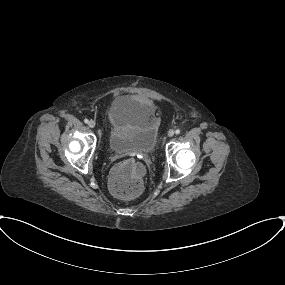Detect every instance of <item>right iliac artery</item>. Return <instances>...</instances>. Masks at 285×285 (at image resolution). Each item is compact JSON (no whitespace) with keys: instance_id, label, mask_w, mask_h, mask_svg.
<instances>
[{"instance_id":"obj_1","label":"right iliac artery","mask_w":285,"mask_h":285,"mask_svg":"<svg viewBox=\"0 0 285 285\" xmlns=\"http://www.w3.org/2000/svg\"><path fill=\"white\" fill-rule=\"evenodd\" d=\"M84 122H85V123H88L89 121H88V119L86 118V119H84Z\"/></svg>"}]
</instances>
